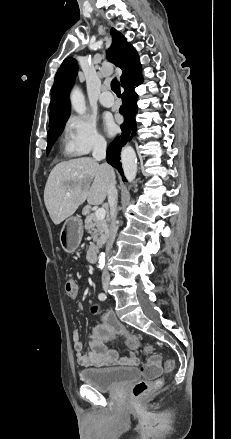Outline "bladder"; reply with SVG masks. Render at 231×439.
Instances as JSON below:
<instances>
[{
  "label": "bladder",
  "instance_id": "31cf9c89",
  "mask_svg": "<svg viewBox=\"0 0 231 439\" xmlns=\"http://www.w3.org/2000/svg\"><path fill=\"white\" fill-rule=\"evenodd\" d=\"M137 368L85 369L79 372L80 380L99 391H112L138 379Z\"/></svg>",
  "mask_w": 231,
  "mask_h": 439
}]
</instances>
